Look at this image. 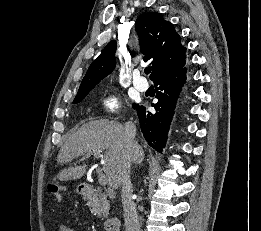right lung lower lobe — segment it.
Wrapping results in <instances>:
<instances>
[{
    "instance_id": "98d812e1",
    "label": "right lung lower lobe",
    "mask_w": 261,
    "mask_h": 231,
    "mask_svg": "<svg viewBox=\"0 0 261 231\" xmlns=\"http://www.w3.org/2000/svg\"><path fill=\"white\" fill-rule=\"evenodd\" d=\"M186 67L163 75L156 79V98L158 102L152 104L156 113L146 112L143 106L135 105L137 109L141 131L148 144L161 153L165 147L167 134L174 115L176 103L183 85L186 82Z\"/></svg>"
}]
</instances>
